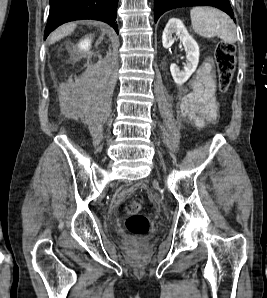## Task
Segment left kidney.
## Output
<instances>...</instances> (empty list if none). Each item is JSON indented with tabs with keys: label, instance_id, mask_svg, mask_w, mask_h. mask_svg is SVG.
Wrapping results in <instances>:
<instances>
[{
	"label": "left kidney",
	"instance_id": "5707ae66",
	"mask_svg": "<svg viewBox=\"0 0 267 298\" xmlns=\"http://www.w3.org/2000/svg\"><path fill=\"white\" fill-rule=\"evenodd\" d=\"M176 34L182 42L184 49L187 53V63L184 70H180L179 67L172 63L170 65V72L177 85L184 84L190 76L195 72L199 62V46L193 37L189 34L183 22L180 19L172 18L168 21L162 35L163 47L168 49L175 41L173 35Z\"/></svg>",
	"mask_w": 267,
	"mask_h": 298
}]
</instances>
